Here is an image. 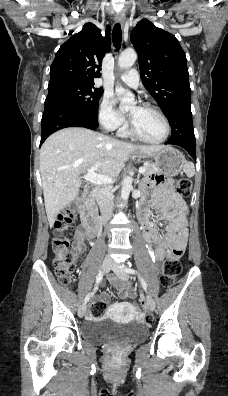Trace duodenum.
<instances>
[{"label": "duodenum", "mask_w": 228, "mask_h": 396, "mask_svg": "<svg viewBox=\"0 0 228 396\" xmlns=\"http://www.w3.org/2000/svg\"><path fill=\"white\" fill-rule=\"evenodd\" d=\"M80 214L84 229L93 235L97 234L101 229V219L94 211L90 189H86L84 192Z\"/></svg>", "instance_id": "obj_1"}]
</instances>
